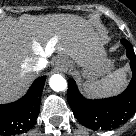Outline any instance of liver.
Segmentation results:
<instances>
[{"mask_svg": "<svg viewBox=\"0 0 136 136\" xmlns=\"http://www.w3.org/2000/svg\"><path fill=\"white\" fill-rule=\"evenodd\" d=\"M106 36L74 15L32 16L0 22V103L21 94L39 58L55 50L74 59L90 58L103 50ZM45 47V50L44 48Z\"/></svg>", "mask_w": 136, "mask_h": 136, "instance_id": "obj_1", "label": "liver"}]
</instances>
